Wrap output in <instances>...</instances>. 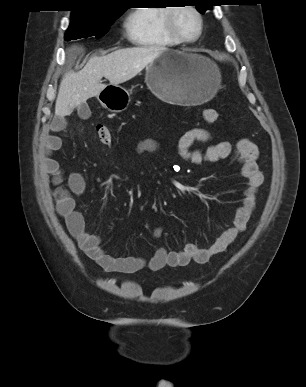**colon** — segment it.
Here are the masks:
<instances>
[{
  "instance_id": "1",
  "label": "colon",
  "mask_w": 306,
  "mask_h": 387,
  "mask_svg": "<svg viewBox=\"0 0 306 387\" xmlns=\"http://www.w3.org/2000/svg\"><path fill=\"white\" fill-rule=\"evenodd\" d=\"M203 118L208 123H214L218 120L219 114L214 109H205L203 111ZM97 135H98L99 141L102 144L110 145L112 143L111 132L106 126L104 125L97 126Z\"/></svg>"
}]
</instances>
